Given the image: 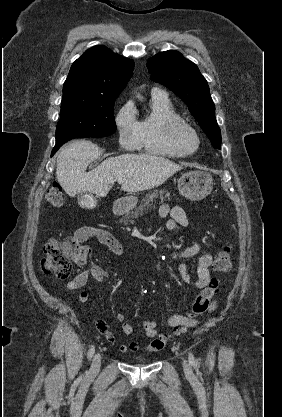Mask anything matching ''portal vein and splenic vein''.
Returning a JSON list of instances; mask_svg holds the SVG:
<instances>
[{
	"instance_id": "18ae733b",
	"label": "portal vein and splenic vein",
	"mask_w": 282,
	"mask_h": 417,
	"mask_svg": "<svg viewBox=\"0 0 282 417\" xmlns=\"http://www.w3.org/2000/svg\"><path fill=\"white\" fill-rule=\"evenodd\" d=\"M117 182L118 184H122V182H124V178H118Z\"/></svg>"
}]
</instances>
